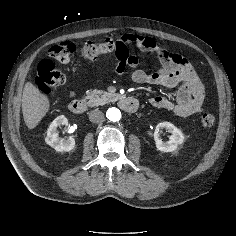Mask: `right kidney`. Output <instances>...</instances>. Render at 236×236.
Masks as SVG:
<instances>
[{"mask_svg": "<svg viewBox=\"0 0 236 236\" xmlns=\"http://www.w3.org/2000/svg\"><path fill=\"white\" fill-rule=\"evenodd\" d=\"M68 120L64 115H60L53 120L50 124L47 135L45 138V142L54 148L57 152H70L75 149L76 142L75 139L69 137L68 139H61L59 137L57 128L61 125H67Z\"/></svg>", "mask_w": 236, "mask_h": 236, "instance_id": "ca27d5eb", "label": "right kidney"}]
</instances>
